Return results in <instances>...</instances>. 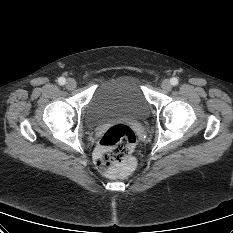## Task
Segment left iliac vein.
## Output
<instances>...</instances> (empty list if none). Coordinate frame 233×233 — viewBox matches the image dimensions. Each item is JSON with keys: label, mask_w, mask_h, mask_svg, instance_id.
<instances>
[{"label": "left iliac vein", "mask_w": 233, "mask_h": 233, "mask_svg": "<svg viewBox=\"0 0 233 233\" xmlns=\"http://www.w3.org/2000/svg\"><path fill=\"white\" fill-rule=\"evenodd\" d=\"M161 87L165 91H170L172 88L170 81L167 79L162 82Z\"/></svg>", "instance_id": "obj_1"}]
</instances>
